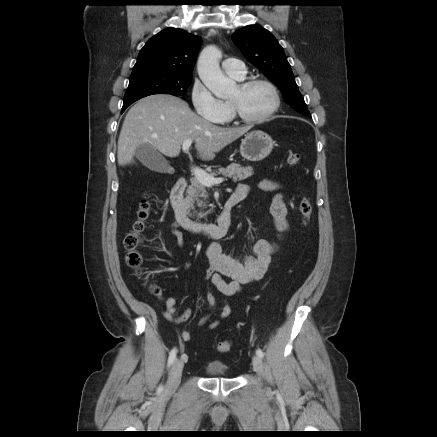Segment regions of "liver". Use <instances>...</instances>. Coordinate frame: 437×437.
Returning a JSON list of instances; mask_svg holds the SVG:
<instances>
[{
    "label": "liver",
    "mask_w": 437,
    "mask_h": 437,
    "mask_svg": "<svg viewBox=\"0 0 437 437\" xmlns=\"http://www.w3.org/2000/svg\"><path fill=\"white\" fill-rule=\"evenodd\" d=\"M249 129L214 125L195 114L180 98L150 95L139 100L126 114L118 139V164L134 162L135 150L142 144L151 145L165 156L176 157L185 140L195 141L202 160H212L215 153Z\"/></svg>",
    "instance_id": "6515ba94"
}]
</instances>
